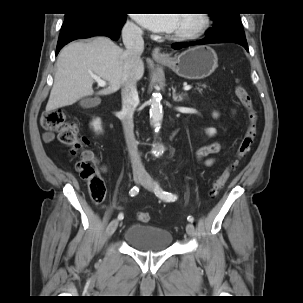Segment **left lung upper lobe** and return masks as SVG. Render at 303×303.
Listing matches in <instances>:
<instances>
[{
    "label": "left lung upper lobe",
    "mask_w": 303,
    "mask_h": 303,
    "mask_svg": "<svg viewBox=\"0 0 303 303\" xmlns=\"http://www.w3.org/2000/svg\"><path fill=\"white\" fill-rule=\"evenodd\" d=\"M213 28L207 31V37L221 35H245L238 13H217L211 16Z\"/></svg>",
    "instance_id": "5c2ea615"
}]
</instances>
